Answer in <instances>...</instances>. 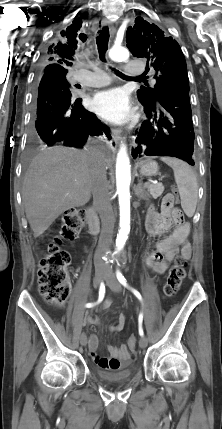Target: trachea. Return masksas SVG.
Returning a JSON list of instances; mask_svg holds the SVG:
<instances>
[{"instance_id": "obj_1", "label": "trachea", "mask_w": 222, "mask_h": 429, "mask_svg": "<svg viewBox=\"0 0 222 429\" xmlns=\"http://www.w3.org/2000/svg\"><path fill=\"white\" fill-rule=\"evenodd\" d=\"M99 36L96 38L98 51L100 55V59L102 61H105V53L108 49V41H109V29L108 27H103L102 30H100ZM117 75L126 78L124 75H122L120 72L116 71ZM136 79L142 80L146 82V78L144 76H139Z\"/></svg>"}]
</instances>
